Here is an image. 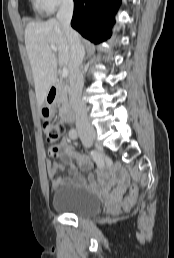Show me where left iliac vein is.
<instances>
[{"instance_id": "1", "label": "left iliac vein", "mask_w": 174, "mask_h": 258, "mask_svg": "<svg viewBox=\"0 0 174 258\" xmlns=\"http://www.w3.org/2000/svg\"><path fill=\"white\" fill-rule=\"evenodd\" d=\"M82 141L85 147H90L92 145V142L87 140L84 136H82Z\"/></svg>"}]
</instances>
